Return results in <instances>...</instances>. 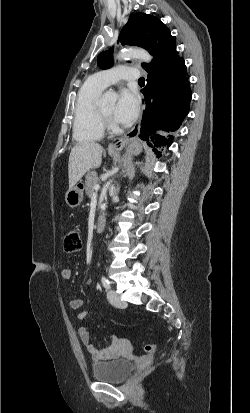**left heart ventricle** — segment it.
<instances>
[{"instance_id":"obj_1","label":"left heart ventricle","mask_w":250,"mask_h":413,"mask_svg":"<svg viewBox=\"0 0 250 413\" xmlns=\"http://www.w3.org/2000/svg\"><path fill=\"white\" fill-rule=\"evenodd\" d=\"M107 114H109V115H113L114 114V111H115V105H114V103H110V104H107V105H103L102 107H101Z\"/></svg>"}]
</instances>
